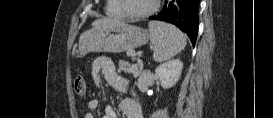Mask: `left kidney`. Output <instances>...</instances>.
<instances>
[{"label": "left kidney", "instance_id": "5707ae66", "mask_svg": "<svg viewBox=\"0 0 273 118\" xmlns=\"http://www.w3.org/2000/svg\"><path fill=\"white\" fill-rule=\"evenodd\" d=\"M182 68L183 63L179 59L170 60L156 68L155 76L159 79L164 89H169L179 80Z\"/></svg>", "mask_w": 273, "mask_h": 118}]
</instances>
